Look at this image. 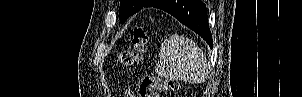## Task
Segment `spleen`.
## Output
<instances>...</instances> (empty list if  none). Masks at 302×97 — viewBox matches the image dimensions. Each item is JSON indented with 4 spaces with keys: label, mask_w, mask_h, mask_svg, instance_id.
<instances>
[{
    "label": "spleen",
    "mask_w": 302,
    "mask_h": 97,
    "mask_svg": "<svg viewBox=\"0 0 302 97\" xmlns=\"http://www.w3.org/2000/svg\"><path fill=\"white\" fill-rule=\"evenodd\" d=\"M159 55L155 71L161 77L202 83L208 76L206 56L187 37L171 35L162 43Z\"/></svg>",
    "instance_id": "spleen-1"
}]
</instances>
